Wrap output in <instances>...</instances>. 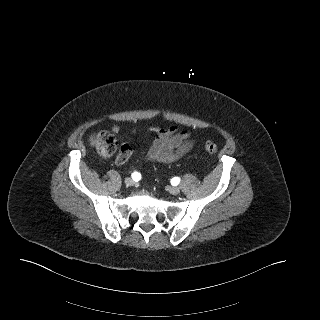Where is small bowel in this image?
I'll return each mask as SVG.
<instances>
[{
    "mask_svg": "<svg viewBox=\"0 0 320 320\" xmlns=\"http://www.w3.org/2000/svg\"><path fill=\"white\" fill-rule=\"evenodd\" d=\"M112 131L118 135L121 129L119 126H114ZM147 133L157 135L146 154L145 159L148 162H175L190 152L194 146L190 133L176 127L168 129L151 127L147 130ZM122 148L125 149L129 158L131 154L129 145L124 144Z\"/></svg>",
    "mask_w": 320,
    "mask_h": 320,
    "instance_id": "obj_1",
    "label": "small bowel"
}]
</instances>
